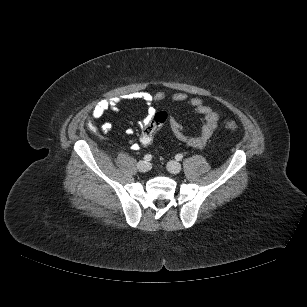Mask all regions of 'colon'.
Returning <instances> with one entry per match:
<instances>
[{
	"instance_id": "obj_1",
	"label": "colon",
	"mask_w": 307,
	"mask_h": 307,
	"mask_svg": "<svg viewBox=\"0 0 307 307\" xmlns=\"http://www.w3.org/2000/svg\"><path fill=\"white\" fill-rule=\"evenodd\" d=\"M167 117L168 115L164 111L155 113L151 123L142 130L140 135V143L143 146H149L152 144L157 130L166 122ZM223 126L230 131H235L237 129V123L230 118H225L223 120Z\"/></svg>"
}]
</instances>
